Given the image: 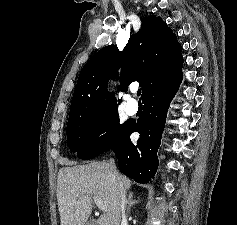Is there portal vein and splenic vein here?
Wrapping results in <instances>:
<instances>
[{"label": "portal vein and splenic vein", "mask_w": 237, "mask_h": 225, "mask_svg": "<svg viewBox=\"0 0 237 225\" xmlns=\"http://www.w3.org/2000/svg\"><path fill=\"white\" fill-rule=\"evenodd\" d=\"M93 199H94V203L100 210H103V211L106 210V206L97 197L94 196Z\"/></svg>", "instance_id": "portal-vein-and-splenic-vein-1"}]
</instances>
